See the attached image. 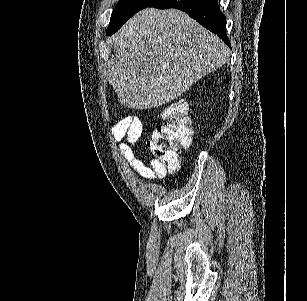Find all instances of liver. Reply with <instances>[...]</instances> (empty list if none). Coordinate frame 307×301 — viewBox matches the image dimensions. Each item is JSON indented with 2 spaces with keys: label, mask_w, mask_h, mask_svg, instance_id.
Returning <instances> with one entry per match:
<instances>
[{
  "label": "liver",
  "mask_w": 307,
  "mask_h": 301,
  "mask_svg": "<svg viewBox=\"0 0 307 301\" xmlns=\"http://www.w3.org/2000/svg\"><path fill=\"white\" fill-rule=\"evenodd\" d=\"M111 40L116 60L106 78L128 108L171 102L230 56L217 34L177 8H143Z\"/></svg>",
  "instance_id": "6515ba94"
}]
</instances>
